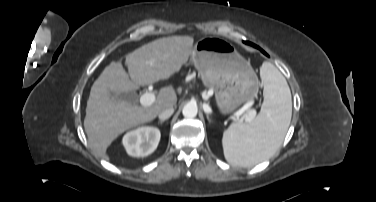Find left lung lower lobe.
Masks as SVG:
<instances>
[{"label": "left lung lower lobe", "mask_w": 376, "mask_h": 202, "mask_svg": "<svg viewBox=\"0 0 376 202\" xmlns=\"http://www.w3.org/2000/svg\"><path fill=\"white\" fill-rule=\"evenodd\" d=\"M246 43H247V44H250L251 46H253V47L259 49L261 52L264 53V51H263L260 47H258L257 45H255V44H253V43H250V42H246ZM264 54H265V53H264Z\"/></svg>", "instance_id": "obj_1"}]
</instances>
